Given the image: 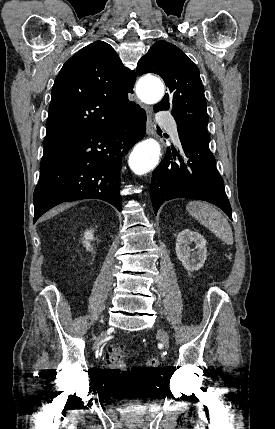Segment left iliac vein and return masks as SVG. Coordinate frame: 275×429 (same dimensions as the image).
Returning a JSON list of instances; mask_svg holds the SVG:
<instances>
[{
  "label": "left iliac vein",
  "mask_w": 275,
  "mask_h": 429,
  "mask_svg": "<svg viewBox=\"0 0 275 429\" xmlns=\"http://www.w3.org/2000/svg\"><path fill=\"white\" fill-rule=\"evenodd\" d=\"M159 335H160L161 341H162L163 343H167V342H168V340H169V335H168V333H167L165 330L161 329V330L159 331Z\"/></svg>",
  "instance_id": "left-iliac-vein-1"
}]
</instances>
